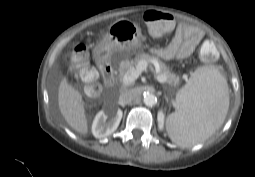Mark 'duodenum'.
<instances>
[{"mask_svg":"<svg viewBox=\"0 0 255 177\" xmlns=\"http://www.w3.org/2000/svg\"><path fill=\"white\" fill-rule=\"evenodd\" d=\"M97 61L106 86L112 88L115 84V74L111 63L102 56L98 57Z\"/></svg>","mask_w":255,"mask_h":177,"instance_id":"duodenum-1","label":"duodenum"}]
</instances>
